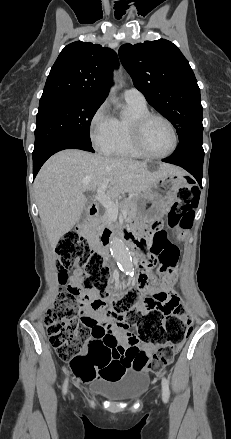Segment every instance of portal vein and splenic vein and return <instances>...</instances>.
<instances>
[{"instance_id":"18ae733b","label":"portal vein and splenic vein","mask_w":231,"mask_h":439,"mask_svg":"<svg viewBox=\"0 0 231 439\" xmlns=\"http://www.w3.org/2000/svg\"><path fill=\"white\" fill-rule=\"evenodd\" d=\"M109 181V179L106 181V183ZM106 183H104L103 185H101L98 190H97V194L95 195V199L100 202L107 210V212L109 213V215L112 218H117L118 216V205L115 204V202L108 197L105 194V190H106ZM127 215V211L123 210V216L125 217Z\"/></svg>"}]
</instances>
